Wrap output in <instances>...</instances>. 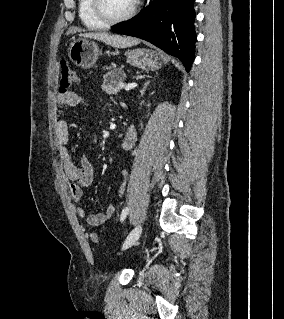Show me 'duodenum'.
<instances>
[{
    "label": "duodenum",
    "instance_id": "obj_1",
    "mask_svg": "<svg viewBox=\"0 0 284 319\" xmlns=\"http://www.w3.org/2000/svg\"><path fill=\"white\" fill-rule=\"evenodd\" d=\"M137 139V130L135 126H130L122 139V147L130 149L133 147Z\"/></svg>",
    "mask_w": 284,
    "mask_h": 319
}]
</instances>
